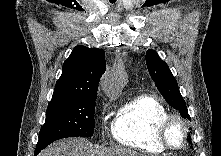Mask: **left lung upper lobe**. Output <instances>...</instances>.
<instances>
[{
    "label": "left lung upper lobe",
    "instance_id": "5c2ea615",
    "mask_svg": "<svg viewBox=\"0 0 221 156\" xmlns=\"http://www.w3.org/2000/svg\"><path fill=\"white\" fill-rule=\"evenodd\" d=\"M146 64L150 76L164 99L176 110H179L183 118L190 119L183 97L180 94L178 84L172 75L168 65L160 59L154 50L146 52Z\"/></svg>",
    "mask_w": 221,
    "mask_h": 156
}]
</instances>
